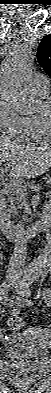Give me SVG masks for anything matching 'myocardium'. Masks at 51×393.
<instances>
[{"label":"myocardium","mask_w":51,"mask_h":393,"mask_svg":"<svg viewBox=\"0 0 51 393\" xmlns=\"http://www.w3.org/2000/svg\"><path fill=\"white\" fill-rule=\"evenodd\" d=\"M42 107H43V112L39 115H36V119L43 134L46 137H50L51 136V99L45 100Z\"/></svg>","instance_id":"myocardium-1"}]
</instances>
